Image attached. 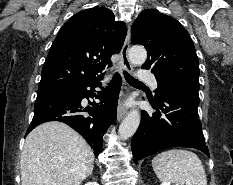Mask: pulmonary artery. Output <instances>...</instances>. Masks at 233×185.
<instances>
[{"mask_svg":"<svg viewBox=\"0 0 233 185\" xmlns=\"http://www.w3.org/2000/svg\"><path fill=\"white\" fill-rule=\"evenodd\" d=\"M140 79L142 81L150 84L152 86V88H154V89H156L158 87L157 80H156L155 76L146 72V71H142L140 73Z\"/></svg>","mask_w":233,"mask_h":185,"instance_id":"obj_1","label":"pulmonary artery"}]
</instances>
